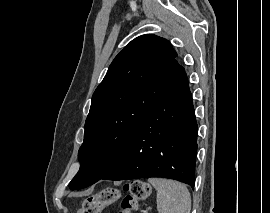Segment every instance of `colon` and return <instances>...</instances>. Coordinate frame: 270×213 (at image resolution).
Returning a JSON list of instances; mask_svg holds the SVG:
<instances>
[{
	"label": "colon",
	"instance_id": "colon-1",
	"mask_svg": "<svg viewBox=\"0 0 270 213\" xmlns=\"http://www.w3.org/2000/svg\"><path fill=\"white\" fill-rule=\"evenodd\" d=\"M151 194V187L144 181L134 180L127 186V194L121 201L118 213H136L139 204ZM118 191L112 188H105L99 193L89 196L82 203L77 213H101L102 210L115 202L118 198Z\"/></svg>",
	"mask_w": 270,
	"mask_h": 213
}]
</instances>
